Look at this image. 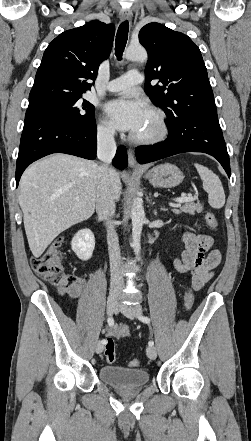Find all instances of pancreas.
<instances>
[{
  "mask_svg": "<svg viewBox=\"0 0 251 441\" xmlns=\"http://www.w3.org/2000/svg\"><path fill=\"white\" fill-rule=\"evenodd\" d=\"M203 206L197 202L188 201L183 206H180L179 208H174L172 211L175 214H180L181 212L189 213L191 215H194L195 212H202Z\"/></svg>",
  "mask_w": 251,
  "mask_h": 441,
  "instance_id": "obj_1",
  "label": "pancreas"
}]
</instances>
